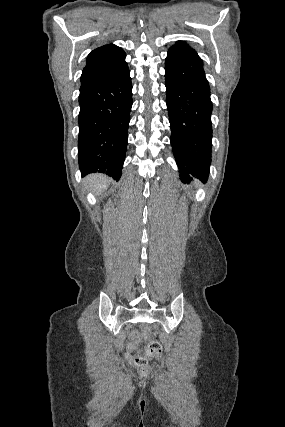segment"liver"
Segmentation results:
<instances>
[{
    "label": "liver",
    "mask_w": 285,
    "mask_h": 427,
    "mask_svg": "<svg viewBox=\"0 0 285 427\" xmlns=\"http://www.w3.org/2000/svg\"><path fill=\"white\" fill-rule=\"evenodd\" d=\"M86 184L97 194L102 193L109 185V178L103 174H91L85 178Z\"/></svg>",
    "instance_id": "obj_1"
}]
</instances>
